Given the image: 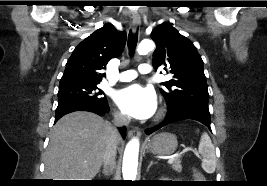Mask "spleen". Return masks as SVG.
<instances>
[{
  "mask_svg": "<svg viewBox=\"0 0 267 186\" xmlns=\"http://www.w3.org/2000/svg\"><path fill=\"white\" fill-rule=\"evenodd\" d=\"M198 151L202 156V168L208 173H213L216 168L215 148L207 133L202 134Z\"/></svg>",
  "mask_w": 267,
  "mask_h": 186,
  "instance_id": "spleen-1",
  "label": "spleen"
}]
</instances>
